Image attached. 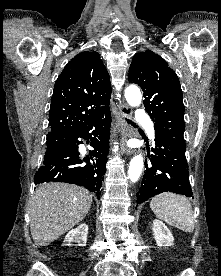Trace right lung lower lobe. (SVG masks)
I'll return each mask as SVG.
<instances>
[{
    "label": "right lung lower lobe",
    "instance_id": "98d812e1",
    "mask_svg": "<svg viewBox=\"0 0 221 276\" xmlns=\"http://www.w3.org/2000/svg\"><path fill=\"white\" fill-rule=\"evenodd\" d=\"M111 125L110 109L71 136L64 148L46 152L42 166L34 176L35 185L60 181L81 185L100 198L103 175L106 172ZM95 127L92 133H89ZM78 138L90 139L93 150L86 158H81ZM89 143V141H87Z\"/></svg>",
    "mask_w": 221,
    "mask_h": 276
}]
</instances>
